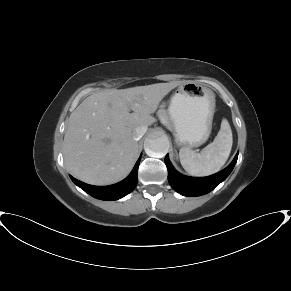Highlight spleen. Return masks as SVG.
I'll return each instance as SVG.
<instances>
[{
	"mask_svg": "<svg viewBox=\"0 0 291 291\" xmlns=\"http://www.w3.org/2000/svg\"><path fill=\"white\" fill-rule=\"evenodd\" d=\"M232 131L227 119L221 122V128L214 141L200 153L187 147L179 151L182 167L193 176H208L218 172L226 163L232 148Z\"/></svg>",
	"mask_w": 291,
	"mask_h": 291,
	"instance_id": "3e777b00",
	"label": "spleen"
}]
</instances>
